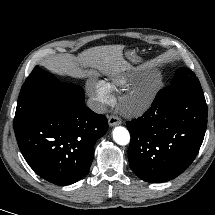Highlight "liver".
I'll list each match as a JSON object with an SVG mask.
<instances>
[{
  "label": "liver",
  "instance_id": "1",
  "mask_svg": "<svg viewBox=\"0 0 215 215\" xmlns=\"http://www.w3.org/2000/svg\"><path fill=\"white\" fill-rule=\"evenodd\" d=\"M122 45L97 46L87 49L71 60L55 59L46 67L60 75L80 76L84 68L91 67L102 74L118 76L131 68L123 58Z\"/></svg>",
  "mask_w": 215,
  "mask_h": 215
}]
</instances>
